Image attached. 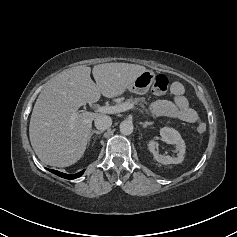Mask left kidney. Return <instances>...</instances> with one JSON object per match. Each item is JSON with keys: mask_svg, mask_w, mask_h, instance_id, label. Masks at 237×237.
Returning <instances> with one entry per match:
<instances>
[{"mask_svg": "<svg viewBox=\"0 0 237 237\" xmlns=\"http://www.w3.org/2000/svg\"><path fill=\"white\" fill-rule=\"evenodd\" d=\"M160 135H161L162 141L166 142L167 144L176 145V148L179 152L177 156H173V157L168 156V155L167 156L161 155L155 149L156 142L154 140H150L148 143V149L153 154L154 159L158 161L159 163H162L165 165L182 163L184 160L186 146L179 132L173 128L163 127L160 130Z\"/></svg>", "mask_w": 237, "mask_h": 237, "instance_id": "left-kidney-1", "label": "left kidney"}]
</instances>
